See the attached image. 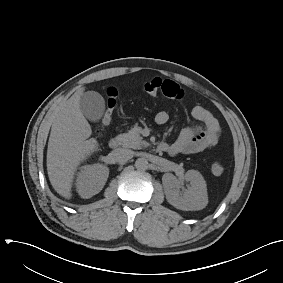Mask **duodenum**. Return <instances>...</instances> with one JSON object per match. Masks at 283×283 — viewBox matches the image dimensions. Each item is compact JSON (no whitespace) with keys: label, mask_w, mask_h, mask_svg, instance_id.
<instances>
[{"label":"duodenum","mask_w":283,"mask_h":283,"mask_svg":"<svg viewBox=\"0 0 283 283\" xmlns=\"http://www.w3.org/2000/svg\"><path fill=\"white\" fill-rule=\"evenodd\" d=\"M121 145V140L118 137L112 138L109 142V146L111 149H117ZM166 145L164 143H160L158 145V150L159 151H165Z\"/></svg>","instance_id":"duodenum-1"}]
</instances>
